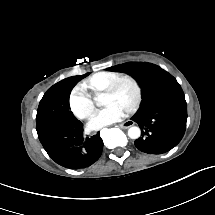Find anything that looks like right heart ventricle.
<instances>
[{
  "mask_svg": "<svg viewBox=\"0 0 215 215\" xmlns=\"http://www.w3.org/2000/svg\"><path fill=\"white\" fill-rule=\"evenodd\" d=\"M114 75H117V74H114ZM95 84H96V86L99 87V88H104V87H106L107 84H108V79H107V77L104 76V75H99V76H97L96 79H95Z\"/></svg>",
  "mask_w": 215,
  "mask_h": 215,
  "instance_id": "right-heart-ventricle-1",
  "label": "right heart ventricle"
}]
</instances>
